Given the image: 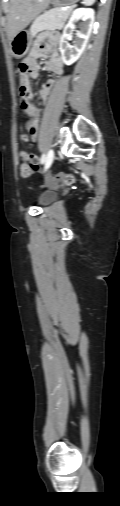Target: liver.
Instances as JSON below:
<instances>
[{
  "mask_svg": "<svg viewBox=\"0 0 120 506\" xmlns=\"http://www.w3.org/2000/svg\"><path fill=\"white\" fill-rule=\"evenodd\" d=\"M51 0H10L7 14V35L11 41L43 12Z\"/></svg>",
  "mask_w": 120,
  "mask_h": 506,
  "instance_id": "6515ba94",
  "label": "liver"
}]
</instances>
